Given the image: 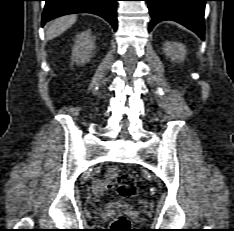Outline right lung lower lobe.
<instances>
[{"label": "right lung lower lobe", "mask_w": 234, "mask_h": 231, "mask_svg": "<svg viewBox=\"0 0 234 231\" xmlns=\"http://www.w3.org/2000/svg\"><path fill=\"white\" fill-rule=\"evenodd\" d=\"M42 26L56 17L72 13H92L106 19L116 31L117 0H45Z\"/></svg>", "instance_id": "1"}]
</instances>
